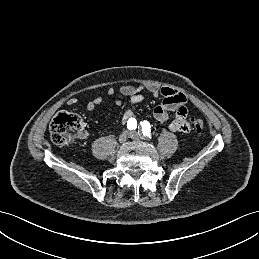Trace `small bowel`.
<instances>
[{"instance_id":"1","label":"small bowel","mask_w":259,"mask_h":259,"mask_svg":"<svg viewBox=\"0 0 259 259\" xmlns=\"http://www.w3.org/2000/svg\"><path fill=\"white\" fill-rule=\"evenodd\" d=\"M148 91L153 96H162V101L158 104L153 111L154 118L161 123H165L169 120V113L174 112V119L169 124V129L173 132L187 133L190 131L191 126L187 120L188 110L186 108L187 97L185 94L175 90L171 87H156L154 85H135L126 84L119 88V92L130 97L131 104L137 105L144 100L143 92ZM115 93L113 88H109L107 91L108 96H113ZM102 97H96L89 101L86 109L91 112L102 103ZM77 102L75 98L69 100L70 105H74ZM132 109H127L122 117L123 122H127L130 118H133ZM88 132L81 131L79 137L81 139L87 138Z\"/></svg>"}]
</instances>
